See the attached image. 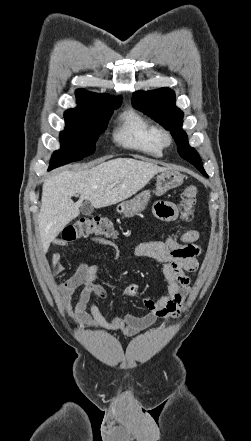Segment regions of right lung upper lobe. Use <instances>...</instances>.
<instances>
[{
    "label": "right lung upper lobe",
    "instance_id": "1",
    "mask_svg": "<svg viewBox=\"0 0 251 441\" xmlns=\"http://www.w3.org/2000/svg\"><path fill=\"white\" fill-rule=\"evenodd\" d=\"M76 98H77L78 106L76 108H72V109L67 110L65 112V114L77 112L83 103L90 101V100L106 101V102L121 101L120 97H113V96H109L107 94L91 93V92H89L87 90H83V89H78L76 91Z\"/></svg>",
    "mask_w": 251,
    "mask_h": 441
}]
</instances>
